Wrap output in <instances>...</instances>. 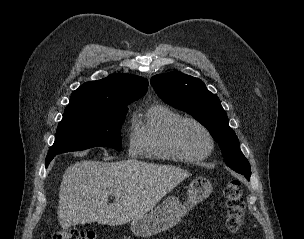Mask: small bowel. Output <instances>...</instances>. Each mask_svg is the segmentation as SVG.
<instances>
[{"mask_svg": "<svg viewBox=\"0 0 304 239\" xmlns=\"http://www.w3.org/2000/svg\"><path fill=\"white\" fill-rule=\"evenodd\" d=\"M191 239H200V238H195V237H194V238H191Z\"/></svg>", "mask_w": 304, "mask_h": 239, "instance_id": "obj_1", "label": "small bowel"}]
</instances>
